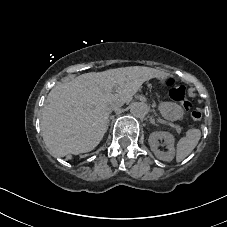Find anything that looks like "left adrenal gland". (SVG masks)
<instances>
[{
  "label": "left adrenal gland",
  "mask_w": 227,
  "mask_h": 227,
  "mask_svg": "<svg viewBox=\"0 0 227 227\" xmlns=\"http://www.w3.org/2000/svg\"><path fill=\"white\" fill-rule=\"evenodd\" d=\"M150 121H151V124H153L154 126H158V124L155 123V120L152 117H150Z\"/></svg>",
  "instance_id": "left-adrenal-gland-1"
}]
</instances>
